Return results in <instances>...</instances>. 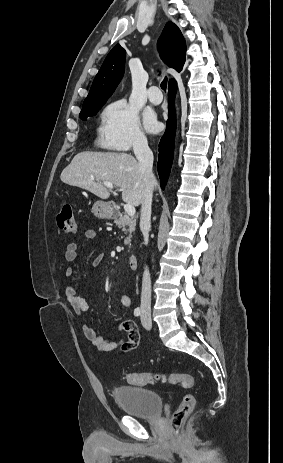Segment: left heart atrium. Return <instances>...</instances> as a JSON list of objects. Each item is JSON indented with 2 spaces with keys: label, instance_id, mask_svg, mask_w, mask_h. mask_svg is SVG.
Here are the masks:
<instances>
[{
  "label": "left heart atrium",
  "instance_id": "1",
  "mask_svg": "<svg viewBox=\"0 0 283 463\" xmlns=\"http://www.w3.org/2000/svg\"><path fill=\"white\" fill-rule=\"evenodd\" d=\"M144 122H145V127L149 132L154 133V132H157L159 130V124H158V122H157L154 115L147 114L145 116Z\"/></svg>",
  "mask_w": 283,
  "mask_h": 463
}]
</instances>
